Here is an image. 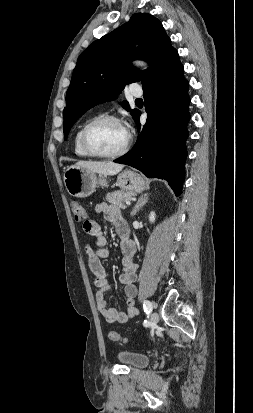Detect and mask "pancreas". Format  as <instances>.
<instances>
[{
    "mask_svg": "<svg viewBox=\"0 0 253 413\" xmlns=\"http://www.w3.org/2000/svg\"><path fill=\"white\" fill-rule=\"evenodd\" d=\"M133 195L134 194L132 192L117 190L108 193L106 195V200L107 202L111 203L114 206H117L118 208L125 209L126 206L124 205V202H126L127 200H131Z\"/></svg>",
    "mask_w": 253,
    "mask_h": 413,
    "instance_id": "pancreas-1",
    "label": "pancreas"
}]
</instances>
